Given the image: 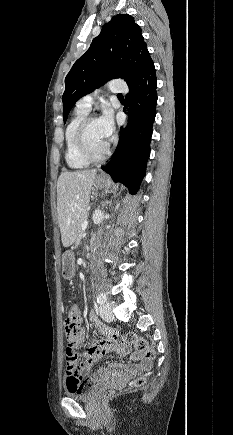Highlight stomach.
I'll return each mask as SVG.
<instances>
[{"instance_id": "0dacf381", "label": "stomach", "mask_w": 233, "mask_h": 435, "mask_svg": "<svg viewBox=\"0 0 233 435\" xmlns=\"http://www.w3.org/2000/svg\"><path fill=\"white\" fill-rule=\"evenodd\" d=\"M110 181L106 175H99L95 178L94 185L97 188L109 186ZM75 275V258L71 251H66L62 256V277L72 279Z\"/></svg>"}]
</instances>
